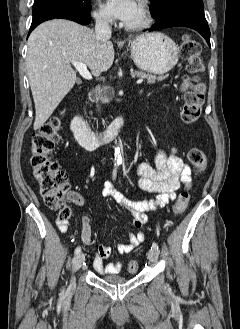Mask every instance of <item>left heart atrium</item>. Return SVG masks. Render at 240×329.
Instances as JSON below:
<instances>
[{
	"label": "left heart atrium",
	"mask_w": 240,
	"mask_h": 329,
	"mask_svg": "<svg viewBox=\"0 0 240 329\" xmlns=\"http://www.w3.org/2000/svg\"><path fill=\"white\" fill-rule=\"evenodd\" d=\"M138 4L136 0H106V12L123 22L130 20L136 13Z\"/></svg>",
	"instance_id": "obj_1"
}]
</instances>
